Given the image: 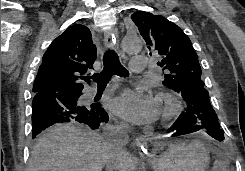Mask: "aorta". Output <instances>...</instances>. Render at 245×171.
I'll use <instances>...</instances> for the list:
<instances>
[{
  "label": "aorta",
  "mask_w": 245,
  "mask_h": 171,
  "mask_svg": "<svg viewBox=\"0 0 245 171\" xmlns=\"http://www.w3.org/2000/svg\"><path fill=\"white\" fill-rule=\"evenodd\" d=\"M121 46L126 53H137L142 49V40L137 36H125Z\"/></svg>",
  "instance_id": "aorta-1"
}]
</instances>
